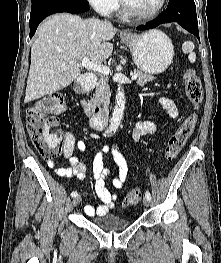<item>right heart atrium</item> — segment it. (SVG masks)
Listing matches in <instances>:
<instances>
[{
	"label": "right heart atrium",
	"instance_id": "1",
	"mask_svg": "<svg viewBox=\"0 0 221 263\" xmlns=\"http://www.w3.org/2000/svg\"><path fill=\"white\" fill-rule=\"evenodd\" d=\"M91 7L97 12L109 15L118 7V0H87Z\"/></svg>",
	"mask_w": 221,
	"mask_h": 263
}]
</instances>
